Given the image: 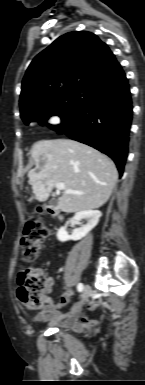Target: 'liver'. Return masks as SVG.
I'll use <instances>...</instances> for the list:
<instances>
[{"mask_svg": "<svg viewBox=\"0 0 145 385\" xmlns=\"http://www.w3.org/2000/svg\"><path fill=\"white\" fill-rule=\"evenodd\" d=\"M29 184L35 198L46 201L56 183L66 190L58 199L62 212L73 213L103 206L110 198L118 179L114 162L98 150L70 139L41 140L31 151Z\"/></svg>", "mask_w": 145, "mask_h": 385, "instance_id": "6515ba94", "label": "liver"}]
</instances>
